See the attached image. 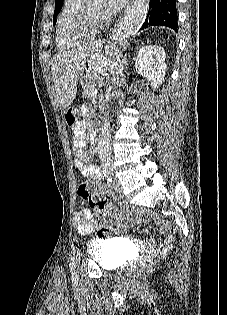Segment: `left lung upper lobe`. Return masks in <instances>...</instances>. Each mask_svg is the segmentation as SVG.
Instances as JSON below:
<instances>
[{
	"label": "left lung upper lobe",
	"mask_w": 227,
	"mask_h": 315,
	"mask_svg": "<svg viewBox=\"0 0 227 315\" xmlns=\"http://www.w3.org/2000/svg\"><path fill=\"white\" fill-rule=\"evenodd\" d=\"M62 5H63V0H55V12H54V18H53L54 24L56 21V16L60 12Z\"/></svg>",
	"instance_id": "5c2ea615"
}]
</instances>
